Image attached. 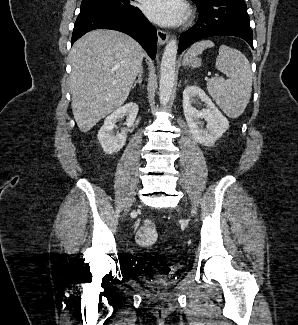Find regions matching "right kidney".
I'll return each instance as SVG.
<instances>
[{"mask_svg":"<svg viewBox=\"0 0 298 325\" xmlns=\"http://www.w3.org/2000/svg\"><path fill=\"white\" fill-rule=\"evenodd\" d=\"M139 106L137 102H127L124 106L116 108L112 114H109L104 120L100 130H98L97 138L106 154H112V152H118L125 144L127 138V132L130 126H133L134 120L138 114ZM126 116L125 128H122L121 132L115 134L114 128L117 126L116 122Z\"/></svg>","mask_w":298,"mask_h":325,"instance_id":"ca27d5eb","label":"right kidney"}]
</instances>
